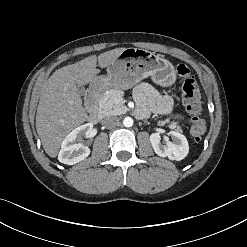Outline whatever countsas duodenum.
<instances>
[{
    "label": "duodenum",
    "instance_id": "duodenum-1",
    "mask_svg": "<svg viewBox=\"0 0 247 247\" xmlns=\"http://www.w3.org/2000/svg\"><path fill=\"white\" fill-rule=\"evenodd\" d=\"M103 89L100 86L93 87L87 94L85 102L89 110L88 120L91 123H96L100 118L98 102L102 95Z\"/></svg>",
    "mask_w": 247,
    "mask_h": 247
}]
</instances>
